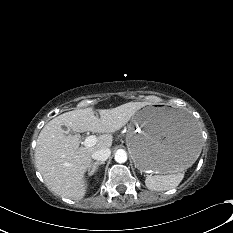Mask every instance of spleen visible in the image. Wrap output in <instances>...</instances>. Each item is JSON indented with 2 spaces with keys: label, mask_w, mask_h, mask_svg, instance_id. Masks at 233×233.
Wrapping results in <instances>:
<instances>
[{
  "label": "spleen",
  "mask_w": 233,
  "mask_h": 233,
  "mask_svg": "<svg viewBox=\"0 0 233 233\" xmlns=\"http://www.w3.org/2000/svg\"><path fill=\"white\" fill-rule=\"evenodd\" d=\"M183 176L182 172L168 175H148L145 184L150 190L165 191L177 187Z\"/></svg>",
  "instance_id": "3e777b00"
}]
</instances>
